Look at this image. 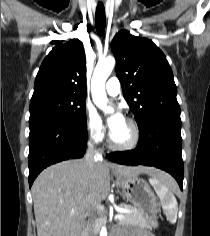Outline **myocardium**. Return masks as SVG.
<instances>
[{"label": "myocardium", "instance_id": "obj_1", "mask_svg": "<svg viewBox=\"0 0 210 236\" xmlns=\"http://www.w3.org/2000/svg\"><path fill=\"white\" fill-rule=\"evenodd\" d=\"M125 120L132 129V137L127 143L119 144L114 142V140L112 139V134L110 133L108 137V143L112 149L118 151H128L135 148L140 141V128L137 121L132 117H127Z\"/></svg>", "mask_w": 210, "mask_h": 236}]
</instances>
